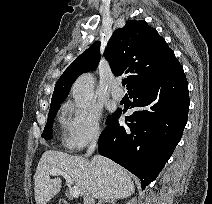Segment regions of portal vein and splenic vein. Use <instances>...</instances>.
I'll use <instances>...</instances> for the list:
<instances>
[{"instance_id":"18ae733b","label":"portal vein and splenic vein","mask_w":212,"mask_h":204,"mask_svg":"<svg viewBox=\"0 0 212 204\" xmlns=\"http://www.w3.org/2000/svg\"><path fill=\"white\" fill-rule=\"evenodd\" d=\"M50 175L53 176L62 175L65 178L66 182L70 185L69 189L70 196L76 198L80 195V190L76 186H72L73 185L72 178L67 173L59 169H52L50 171Z\"/></svg>"}]
</instances>
